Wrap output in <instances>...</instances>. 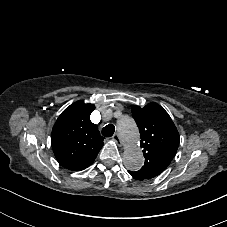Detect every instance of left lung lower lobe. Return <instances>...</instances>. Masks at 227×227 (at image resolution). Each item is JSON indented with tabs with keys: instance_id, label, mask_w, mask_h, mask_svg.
<instances>
[{
	"instance_id": "1",
	"label": "left lung lower lobe",
	"mask_w": 227,
	"mask_h": 227,
	"mask_svg": "<svg viewBox=\"0 0 227 227\" xmlns=\"http://www.w3.org/2000/svg\"><path fill=\"white\" fill-rule=\"evenodd\" d=\"M130 175L135 178L136 180H143V179H140L139 177H137L133 172L129 171Z\"/></svg>"
}]
</instances>
